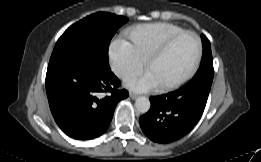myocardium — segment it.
<instances>
[{"instance_id": "obj_1", "label": "myocardium", "mask_w": 261, "mask_h": 162, "mask_svg": "<svg viewBox=\"0 0 261 162\" xmlns=\"http://www.w3.org/2000/svg\"><path fill=\"white\" fill-rule=\"evenodd\" d=\"M185 35H192L196 39L197 52H196L194 62L192 64V66L190 67V69L188 70V72L185 75H183L181 78H179L178 80H176L172 83L162 85L161 89L164 91H170V90L176 89V88L180 87L181 85H183L184 83H186L188 80H190L194 76V74L196 73V71L199 67V64L201 62L202 53H203L201 38L194 31H190V30L181 31V32L169 37L168 39H166L159 47H157L154 51H152L149 54V56L146 58V67L148 68L149 65L154 60H156L157 58L164 55L179 38H181L182 36H185Z\"/></svg>"}]
</instances>
